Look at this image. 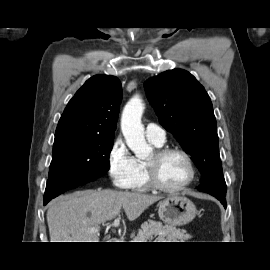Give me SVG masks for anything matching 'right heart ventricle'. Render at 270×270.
<instances>
[{
  "instance_id": "1",
  "label": "right heart ventricle",
  "mask_w": 270,
  "mask_h": 270,
  "mask_svg": "<svg viewBox=\"0 0 270 270\" xmlns=\"http://www.w3.org/2000/svg\"><path fill=\"white\" fill-rule=\"evenodd\" d=\"M150 142L158 148L163 145V144H158L154 141H150ZM135 160H136V174H135L131 188L135 191L146 192L149 190L150 186L147 181L145 161L140 160V159H135Z\"/></svg>"
}]
</instances>
